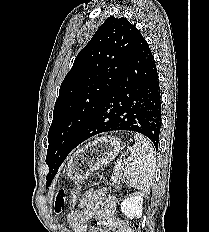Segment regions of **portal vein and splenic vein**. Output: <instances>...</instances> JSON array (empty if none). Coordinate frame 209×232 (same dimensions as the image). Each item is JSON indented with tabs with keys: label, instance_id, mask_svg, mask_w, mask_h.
Masks as SVG:
<instances>
[{
	"label": "portal vein and splenic vein",
	"instance_id": "1",
	"mask_svg": "<svg viewBox=\"0 0 209 232\" xmlns=\"http://www.w3.org/2000/svg\"><path fill=\"white\" fill-rule=\"evenodd\" d=\"M125 160H127V161H132L133 158H132V157H128L127 159H120L119 162H118V165H121L122 162L125 161Z\"/></svg>",
	"mask_w": 209,
	"mask_h": 232
}]
</instances>
